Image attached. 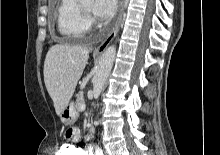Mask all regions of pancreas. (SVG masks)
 <instances>
[{"label":"pancreas","instance_id":"pancreas-1","mask_svg":"<svg viewBox=\"0 0 220 155\" xmlns=\"http://www.w3.org/2000/svg\"><path fill=\"white\" fill-rule=\"evenodd\" d=\"M84 104V96L83 92H79L77 95L76 103H75V110L80 111L81 110V105Z\"/></svg>","mask_w":220,"mask_h":155}]
</instances>
